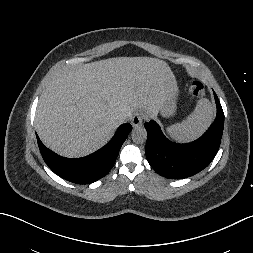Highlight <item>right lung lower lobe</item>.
<instances>
[{
    "instance_id": "obj_1",
    "label": "right lung lower lobe",
    "mask_w": 253,
    "mask_h": 253,
    "mask_svg": "<svg viewBox=\"0 0 253 253\" xmlns=\"http://www.w3.org/2000/svg\"><path fill=\"white\" fill-rule=\"evenodd\" d=\"M131 130L132 126L129 123L123 124L106 146L92 155L79 159H68L55 154L44 146L37 134L36 137L41 155L54 173L73 183L90 184L111 170Z\"/></svg>"
}]
</instances>
